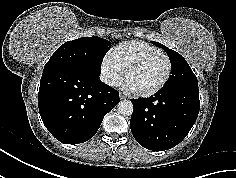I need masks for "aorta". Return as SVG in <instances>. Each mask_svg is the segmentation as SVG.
Here are the masks:
<instances>
[{
    "label": "aorta",
    "instance_id": "aorta-1",
    "mask_svg": "<svg viewBox=\"0 0 236 178\" xmlns=\"http://www.w3.org/2000/svg\"><path fill=\"white\" fill-rule=\"evenodd\" d=\"M117 110L121 115L130 116L133 113V104L129 100L120 101Z\"/></svg>",
    "mask_w": 236,
    "mask_h": 178
}]
</instances>
